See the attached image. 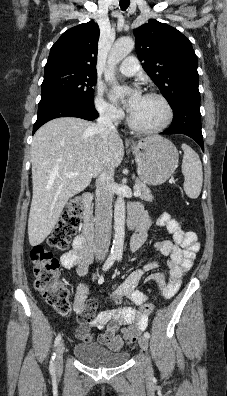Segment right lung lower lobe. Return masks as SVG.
<instances>
[{"instance_id": "obj_1", "label": "right lung lower lobe", "mask_w": 227, "mask_h": 396, "mask_svg": "<svg viewBox=\"0 0 227 396\" xmlns=\"http://www.w3.org/2000/svg\"><path fill=\"white\" fill-rule=\"evenodd\" d=\"M59 117H78L94 120L98 112L94 106L83 104L68 97L56 96L39 102L38 117L33 127V134L44 123Z\"/></svg>"}]
</instances>
